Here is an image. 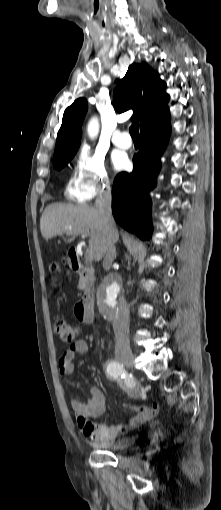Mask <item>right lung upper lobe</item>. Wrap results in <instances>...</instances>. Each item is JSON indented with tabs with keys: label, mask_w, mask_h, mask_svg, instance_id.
<instances>
[{
	"label": "right lung upper lobe",
	"mask_w": 221,
	"mask_h": 510,
	"mask_svg": "<svg viewBox=\"0 0 221 510\" xmlns=\"http://www.w3.org/2000/svg\"><path fill=\"white\" fill-rule=\"evenodd\" d=\"M166 83L148 64H131L126 75L114 90V105L119 112L133 109L132 121H139L141 129L150 124L161 123L170 117L169 95ZM87 111L86 99L79 98L63 115L57 135L54 157L79 147L81 125Z\"/></svg>",
	"instance_id": "1"
}]
</instances>
